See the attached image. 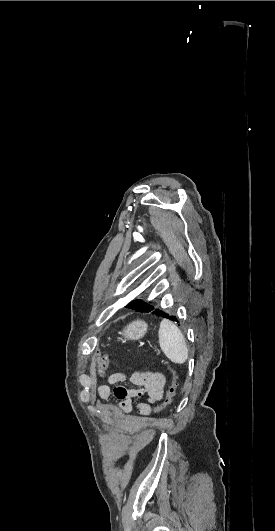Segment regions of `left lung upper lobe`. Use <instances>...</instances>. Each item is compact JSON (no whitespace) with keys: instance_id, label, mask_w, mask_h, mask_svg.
<instances>
[{"instance_id":"obj_1","label":"left lung upper lobe","mask_w":275,"mask_h":531,"mask_svg":"<svg viewBox=\"0 0 275 531\" xmlns=\"http://www.w3.org/2000/svg\"><path fill=\"white\" fill-rule=\"evenodd\" d=\"M127 307L130 309L139 311V312H148L153 309L152 306H149L148 304L143 303L142 300L132 301L127 305Z\"/></svg>"}]
</instances>
